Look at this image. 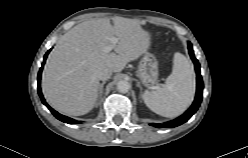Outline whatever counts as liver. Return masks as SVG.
Masks as SVG:
<instances>
[{
    "label": "liver",
    "instance_id": "obj_1",
    "mask_svg": "<svg viewBox=\"0 0 248 158\" xmlns=\"http://www.w3.org/2000/svg\"><path fill=\"white\" fill-rule=\"evenodd\" d=\"M116 36L114 52L104 48ZM150 47L149 33L138 19L114 17L84 21L60 37L42 74L47 102L67 115H84L93 109L99 94V73L110 68L121 72Z\"/></svg>",
    "mask_w": 248,
    "mask_h": 158
}]
</instances>
